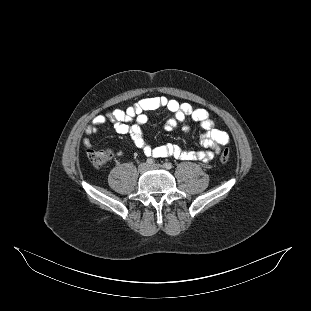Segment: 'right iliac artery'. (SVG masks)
Segmentation results:
<instances>
[{
  "label": "right iliac artery",
  "instance_id": "right-iliac-artery-1",
  "mask_svg": "<svg viewBox=\"0 0 311 311\" xmlns=\"http://www.w3.org/2000/svg\"><path fill=\"white\" fill-rule=\"evenodd\" d=\"M146 163L149 165H152V164H154V160L152 158H148Z\"/></svg>",
  "mask_w": 311,
  "mask_h": 311
}]
</instances>
